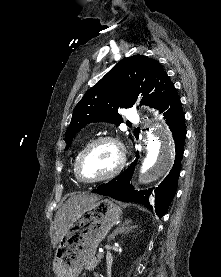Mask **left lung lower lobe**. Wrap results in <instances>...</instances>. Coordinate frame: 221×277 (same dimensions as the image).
I'll use <instances>...</instances> for the list:
<instances>
[{
    "mask_svg": "<svg viewBox=\"0 0 221 277\" xmlns=\"http://www.w3.org/2000/svg\"><path fill=\"white\" fill-rule=\"evenodd\" d=\"M157 109L160 113H163L166 123L173 133L175 142V161L167 177L157 188L137 192L134 190L133 186L130 185V179L136 165V161H134L122 174L98 186L92 192L110 196L124 202L143 204L150 210L155 209L157 216L162 217L165 215L177 189L186 131L181 102L175 88L171 90L166 98L159 104Z\"/></svg>",
    "mask_w": 221,
    "mask_h": 277,
    "instance_id": "0a47b994",
    "label": "left lung lower lobe"
}]
</instances>
